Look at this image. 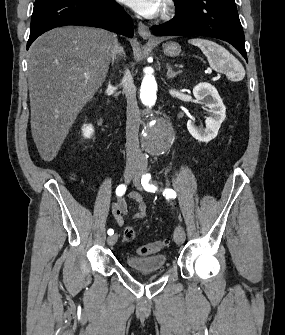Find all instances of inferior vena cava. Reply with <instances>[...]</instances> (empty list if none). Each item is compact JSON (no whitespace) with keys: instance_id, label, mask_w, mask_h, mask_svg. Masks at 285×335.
<instances>
[{"instance_id":"inferior-vena-cava-1","label":"inferior vena cava","mask_w":285,"mask_h":335,"mask_svg":"<svg viewBox=\"0 0 285 335\" xmlns=\"http://www.w3.org/2000/svg\"><path fill=\"white\" fill-rule=\"evenodd\" d=\"M123 54V48L116 44L112 50V60H116V56ZM124 94L127 100V120H126V150L128 162H143L145 160L140 148L138 140L139 126L141 116L136 100V88L133 84V78L127 70L122 80Z\"/></svg>"}]
</instances>
